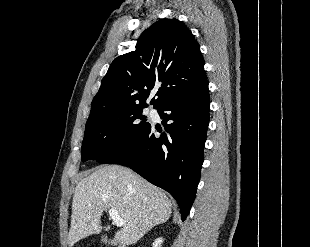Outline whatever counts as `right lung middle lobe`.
I'll use <instances>...</instances> for the list:
<instances>
[{"label":"right lung middle lobe","mask_w":310,"mask_h":247,"mask_svg":"<svg viewBox=\"0 0 310 247\" xmlns=\"http://www.w3.org/2000/svg\"><path fill=\"white\" fill-rule=\"evenodd\" d=\"M142 110L134 108L110 113L87 122L81 148L82 161L94 159L101 164L109 163L132 147L150 126L144 120Z\"/></svg>","instance_id":"obj_1"}]
</instances>
